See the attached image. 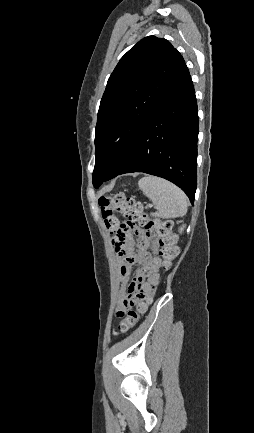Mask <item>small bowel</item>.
<instances>
[{"instance_id":"small-bowel-1","label":"small bowel","mask_w":254,"mask_h":433,"mask_svg":"<svg viewBox=\"0 0 254 433\" xmlns=\"http://www.w3.org/2000/svg\"><path fill=\"white\" fill-rule=\"evenodd\" d=\"M152 240L151 233H139L136 241L132 238L127 239L126 254L117 255L118 279L124 285L119 309L128 296L148 304L156 293L160 281L161 261L156 257V245ZM135 246L137 253H134ZM133 266H138V270L134 279L128 282Z\"/></svg>"}]
</instances>
